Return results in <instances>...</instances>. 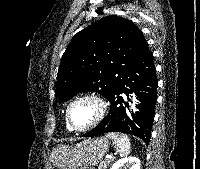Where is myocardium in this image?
<instances>
[{
	"mask_svg": "<svg viewBox=\"0 0 200 169\" xmlns=\"http://www.w3.org/2000/svg\"><path fill=\"white\" fill-rule=\"evenodd\" d=\"M81 101H92L93 103H95V105L97 106V115L95 119L89 125L85 127H76L72 123L70 112H71V108L76 103L81 102ZM108 108H109L108 101L103 95L97 92H86V93L80 94L76 96L74 99H72L66 108L67 124L71 130H74L76 132H86V131L92 130L103 121V119L105 118L108 112Z\"/></svg>",
	"mask_w": 200,
	"mask_h": 169,
	"instance_id": "myocardium-1",
	"label": "myocardium"
}]
</instances>
